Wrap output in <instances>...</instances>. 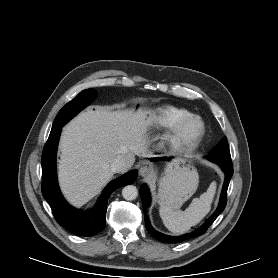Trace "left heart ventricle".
Here are the masks:
<instances>
[{"label": "left heart ventricle", "mask_w": 278, "mask_h": 278, "mask_svg": "<svg viewBox=\"0 0 278 278\" xmlns=\"http://www.w3.org/2000/svg\"><path fill=\"white\" fill-rule=\"evenodd\" d=\"M198 130V125L196 123L189 124L183 133L184 138H190L192 137Z\"/></svg>", "instance_id": "1"}]
</instances>
